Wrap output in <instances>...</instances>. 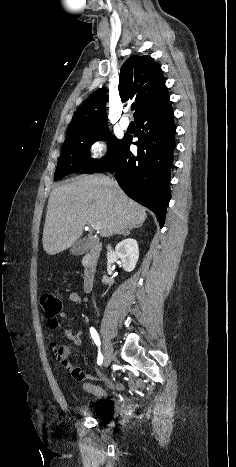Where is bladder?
<instances>
[{
	"instance_id": "bladder-1",
	"label": "bladder",
	"mask_w": 236,
	"mask_h": 467,
	"mask_svg": "<svg viewBox=\"0 0 236 467\" xmlns=\"http://www.w3.org/2000/svg\"><path fill=\"white\" fill-rule=\"evenodd\" d=\"M106 409H107V407L103 406V407L95 408V411H104Z\"/></svg>"
}]
</instances>
